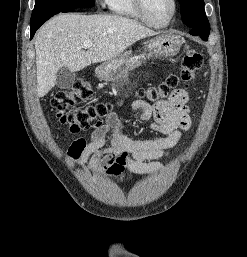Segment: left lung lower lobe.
Instances as JSON below:
<instances>
[{
	"label": "left lung lower lobe",
	"instance_id": "left-lung-lower-lobe-1",
	"mask_svg": "<svg viewBox=\"0 0 247 257\" xmlns=\"http://www.w3.org/2000/svg\"><path fill=\"white\" fill-rule=\"evenodd\" d=\"M189 33L194 36H200L204 41L208 40L209 32H205L199 28H190Z\"/></svg>",
	"mask_w": 247,
	"mask_h": 257
}]
</instances>
